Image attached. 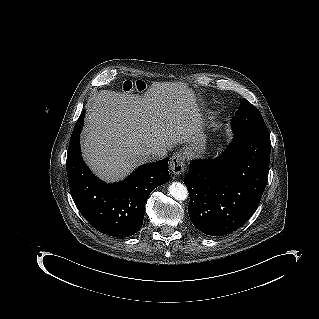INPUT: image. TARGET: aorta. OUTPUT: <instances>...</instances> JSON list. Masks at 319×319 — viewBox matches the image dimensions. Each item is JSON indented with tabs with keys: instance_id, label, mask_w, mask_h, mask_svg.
<instances>
[{
	"instance_id": "1",
	"label": "aorta",
	"mask_w": 319,
	"mask_h": 319,
	"mask_svg": "<svg viewBox=\"0 0 319 319\" xmlns=\"http://www.w3.org/2000/svg\"><path fill=\"white\" fill-rule=\"evenodd\" d=\"M168 191L171 197L178 201H183L188 197V191L186 186L180 182L171 183L169 185Z\"/></svg>"
}]
</instances>
